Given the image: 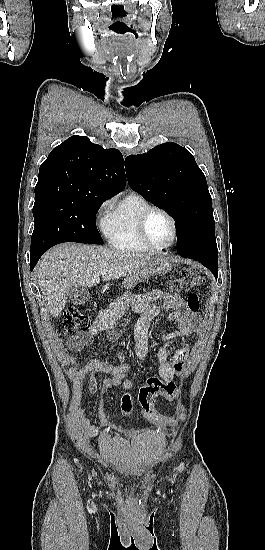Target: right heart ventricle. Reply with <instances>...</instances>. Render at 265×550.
Returning a JSON list of instances; mask_svg holds the SVG:
<instances>
[{
    "label": "right heart ventricle",
    "mask_w": 265,
    "mask_h": 550,
    "mask_svg": "<svg viewBox=\"0 0 265 550\" xmlns=\"http://www.w3.org/2000/svg\"><path fill=\"white\" fill-rule=\"evenodd\" d=\"M149 207V201L137 193L124 196L104 219L103 231L108 243L121 252L148 251L139 238L137 224Z\"/></svg>",
    "instance_id": "right-heart-ventricle-1"
}]
</instances>
